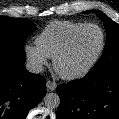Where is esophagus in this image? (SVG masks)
<instances>
[{"label":"esophagus","mask_w":119,"mask_h":119,"mask_svg":"<svg viewBox=\"0 0 119 119\" xmlns=\"http://www.w3.org/2000/svg\"><path fill=\"white\" fill-rule=\"evenodd\" d=\"M46 87H47V90L54 91L57 88V84L55 82L48 80L46 82Z\"/></svg>","instance_id":"esophagus-1"}]
</instances>
